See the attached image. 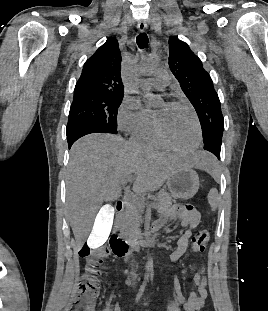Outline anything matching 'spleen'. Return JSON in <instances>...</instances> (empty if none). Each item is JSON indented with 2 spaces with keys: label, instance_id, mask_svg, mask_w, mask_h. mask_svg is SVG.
Instances as JSON below:
<instances>
[{
  "label": "spleen",
  "instance_id": "spleen-1",
  "mask_svg": "<svg viewBox=\"0 0 268 311\" xmlns=\"http://www.w3.org/2000/svg\"><path fill=\"white\" fill-rule=\"evenodd\" d=\"M207 198H208V203L211 207V210L215 211L218 208L220 204V200H221L217 189L216 188L210 189Z\"/></svg>",
  "mask_w": 268,
  "mask_h": 311
}]
</instances>
